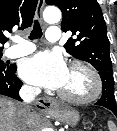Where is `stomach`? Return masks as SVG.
<instances>
[{"mask_svg":"<svg viewBox=\"0 0 117 131\" xmlns=\"http://www.w3.org/2000/svg\"><path fill=\"white\" fill-rule=\"evenodd\" d=\"M47 115L55 118L63 124L70 126L77 125L80 120V115L76 110L63 105H59L56 108L50 110Z\"/></svg>","mask_w":117,"mask_h":131,"instance_id":"obj_1","label":"stomach"}]
</instances>
